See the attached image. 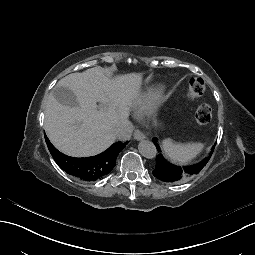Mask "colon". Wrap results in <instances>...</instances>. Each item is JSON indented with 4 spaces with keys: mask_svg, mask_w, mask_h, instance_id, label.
<instances>
[{
    "mask_svg": "<svg viewBox=\"0 0 255 255\" xmlns=\"http://www.w3.org/2000/svg\"><path fill=\"white\" fill-rule=\"evenodd\" d=\"M205 82L201 78H192L189 82L187 96L190 101L199 100L205 92ZM195 121L204 125L210 122L212 118V109L209 104L199 105L194 113Z\"/></svg>",
    "mask_w": 255,
    "mask_h": 255,
    "instance_id": "obj_1",
    "label": "colon"
}]
</instances>
